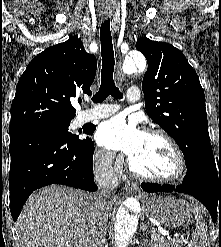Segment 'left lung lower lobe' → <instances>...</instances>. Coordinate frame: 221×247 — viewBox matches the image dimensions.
Instances as JSON below:
<instances>
[{
    "label": "left lung lower lobe",
    "instance_id": "obj_1",
    "mask_svg": "<svg viewBox=\"0 0 221 247\" xmlns=\"http://www.w3.org/2000/svg\"><path fill=\"white\" fill-rule=\"evenodd\" d=\"M187 174L182 184L172 187L169 184L142 183L144 191L187 193L198 199L210 212L213 222L221 221V166H216L211 146L202 148L186 161Z\"/></svg>",
    "mask_w": 221,
    "mask_h": 247
}]
</instances>
